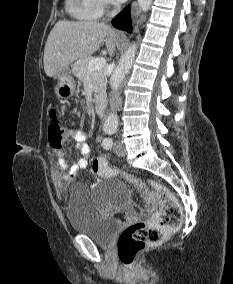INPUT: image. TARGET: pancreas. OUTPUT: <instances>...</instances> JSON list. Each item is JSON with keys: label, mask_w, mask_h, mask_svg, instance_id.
Wrapping results in <instances>:
<instances>
[{"label": "pancreas", "mask_w": 233, "mask_h": 284, "mask_svg": "<svg viewBox=\"0 0 233 284\" xmlns=\"http://www.w3.org/2000/svg\"><path fill=\"white\" fill-rule=\"evenodd\" d=\"M93 57H86L78 60L73 65L74 75L82 82L89 79L92 85V91L94 92L95 103L101 105L106 102V74L105 70L91 71L88 64Z\"/></svg>", "instance_id": "cf45deb5"}]
</instances>
